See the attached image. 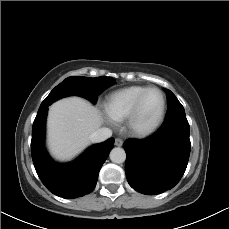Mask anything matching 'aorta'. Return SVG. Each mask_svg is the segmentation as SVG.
Wrapping results in <instances>:
<instances>
[{"instance_id":"1","label":"aorta","mask_w":229,"mask_h":229,"mask_svg":"<svg viewBox=\"0 0 229 229\" xmlns=\"http://www.w3.org/2000/svg\"><path fill=\"white\" fill-rule=\"evenodd\" d=\"M110 159L112 162L120 164L123 163L126 159V153L124 149L117 147L111 150Z\"/></svg>"}]
</instances>
